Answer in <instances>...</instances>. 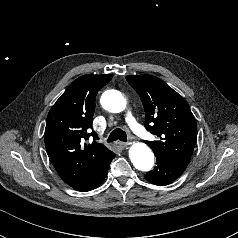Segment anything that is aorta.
I'll return each mask as SVG.
<instances>
[{"label": "aorta", "instance_id": "aorta-1", "mask_svg": "<svg viewBox=\"0 0 238 238\" xmlns=\"http://www.w3.org/2000/svg\"><path fill=\"white\" fill-rule=\"evenodd\" d=\"M101 104L104 109L113 113H119L126 108V100L117 90L105 91ZM129 157L134 167L140 171H149L154 165V155L144 143H134L129 150Z\"/></svg>", "mask_w": 238, "mask_h": 238}]
</instances>
